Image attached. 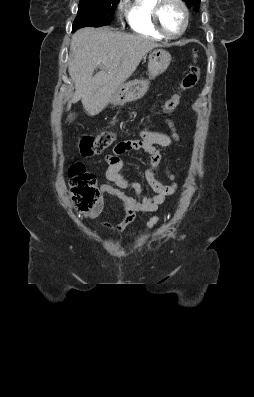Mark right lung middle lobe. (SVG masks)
<instances>
[{
	"label": "right lung middle lobe",
	"mask_w": 254,
	"mask_h": 397,
	"mask_svg": "<svg viewBox=\"0 0 254 397\" xmlns=\"http://www.w3.org/2000/svg\"><path fill=\"white\" fill-rule=\"evenodd\" d=\"M119 0H80L73 30L82 27H100L111 22Z\"/></svg>",
	"instance_id": "obj_1"
}]
</instances>
